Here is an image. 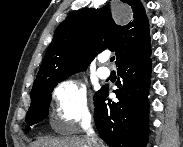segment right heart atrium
Masks as SVG:
<instances>
[{"mask_svg":"<svg viewBox=\"0 0 183 147\" xmlns=\"http://www.w3.org/2000/svg\"><path fill=\"white\" fill-rule=\"evenodd\" d=\"M52 117L58 124L76 128L90 119L86 86L77 79H68L57 85L52 93Z\"/></svg>","mask_w":183,"mask_h":147,"instance_id":"d8ad5b80","label":"right heart atrium"}]
</instances>
